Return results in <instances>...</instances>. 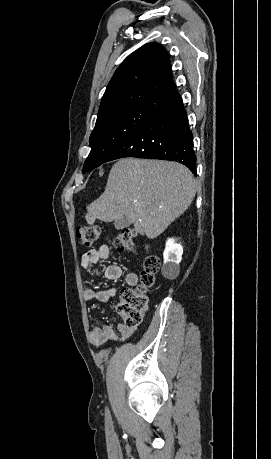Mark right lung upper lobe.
<instances>
[{"mask_svg":"<svg viewBox=\"0 0 271 459\" xmlns=\"http://www.w3.org/2000/svg\"><path fill=\"white\" fill-rule=\"evenodd\" d=\"M178 96L167 51L148 43L118 67L103 95L98 118L134 108L157 113Z\"/></svg>","mask_w":271,"mask_h":459,"instance_id":"1","label":"right lung upper lobe"}]
</instances>
